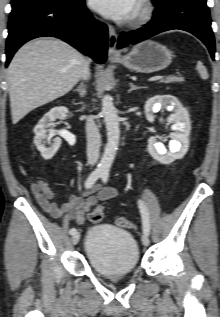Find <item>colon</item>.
Masks as SVG:
<instances>
[{
	"label": "colon",
	"instance_id": "5ec220e1",
	"mask_svg": "<svg viewBox=\"0 0 220 317\" xmlns=\"http://www.w3.org/2000/svg\"><path fill=\"white\" fill-rule=\"evenodd\" d=\"M102 218L103 208L101 206L94 208L89 214V219L92 223H99ZM117 224L121 227H132V223L125 217H119L117 219Z\"/></svg>",
	"mask_w": 220,
	"mask_h": 317
}]
</instances>
